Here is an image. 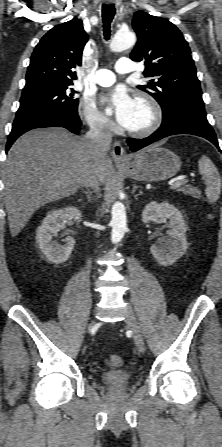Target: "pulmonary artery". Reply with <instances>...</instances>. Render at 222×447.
<instances>
[{"instance_id": "e3ab8cb5", "label": "pulmonary artery", "mask_w": 222, "mask_h": 447, "mask_svg": "<svg viewBox=\"0 0 222 447\" xmlns=\"http://www.w3.org/2000/svg\"><path fill=\"white\" fill-rule=\"evenodd\" d=\"M116 72L122 75H128L135 70L134 64L130 59H121L117 61L115 66ZM92 82L99 86H110L115 80V74L107 69L97 70L91 78Z\"/></svg>"}]
</instances>
